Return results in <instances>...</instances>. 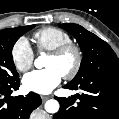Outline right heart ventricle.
I'll use <instances>...</instances> for the list:
<instances>
[{
  "instance_id": "obj_1",
  "label": "right heart ventricle",
  "mask_w": 119,
  "mask_h": 119,
  "mask_svg": "<svg viewBox=\"0 0 119 119\" xmlns=\"http://www.w3.org/2000/svg\"><path fill=\"white\" fill-rule=\"evenodd\" d=\"M39 51H51L63 44L72 42L71 36L63 29L45 27L33 35Z\"/></svg>"
}]
</instances>
